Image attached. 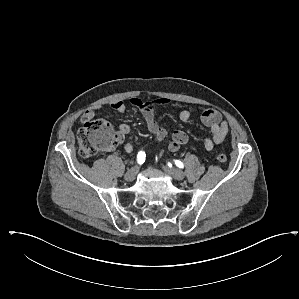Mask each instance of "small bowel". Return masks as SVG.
I'll return each mask as SVG.
<instances>
[{
  "label": "small bowel",
  "mask_w": 299,
  "mask_h": 299,
  "mask_svg": "<svg viewBox=\"0 0 299 299\" xmlns=\"http://www.w3.org/2000/svg\"><path fill=\"white\" fill-rule=\"evenodd\" d=\"M167 103L168 100L164 98L150 101H143L139 98L130 99V104L142 112L151 134L160 140L167 137L168 131L165 127L157 122L155 111L157 108ZM111 108L119 113H124L126 111V105L122 101L113 102L111 104ZM100 109V105H96L88 109L81 117L82 122L85 123L93 119ZM179 118L183 122H189L192 120V113L190 110L184 109L180 112ZM200 120L202 124L208 127L211 131V137H207L204 140V148L207 151H211L215 144H220L225 140L229 132V125L227 121L224 120L222 114L213 108L205 109L201 114ZM130 130V126L126 123L119 125L117 131V142L119 144L124 142L125 137L130 133ZM188 140V135L184 131L176 130L173 132L171 140L168 143V149L172 152H175L183 145L187 144ZM123 148L126 153H132L134 150V146L131 143H125Z\"/></svg>",
  "instance_id": "small-bowel-1"
}]
</instances>
